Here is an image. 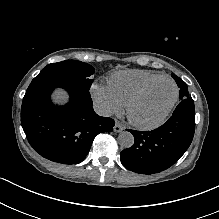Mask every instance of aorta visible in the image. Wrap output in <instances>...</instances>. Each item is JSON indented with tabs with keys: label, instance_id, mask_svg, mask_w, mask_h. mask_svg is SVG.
<instances>
[{
	"label": "aorta",
	"instance_id": "1",
	"mask_svg": "<svg viewBox=\"0 0 219 219\" xmlns=\"http://www.w3.org/2000/svg\"><path fill=\"white\" fill-rule=\"evenodd\" d=\"M118 143L123 148H130L134 144V137L128 131H123L118 135Z\"/></svg>",
	"mask_w": 219,
	"mask_h": 219
}]
</instances>
